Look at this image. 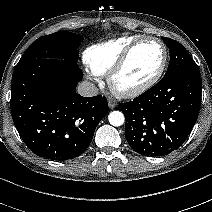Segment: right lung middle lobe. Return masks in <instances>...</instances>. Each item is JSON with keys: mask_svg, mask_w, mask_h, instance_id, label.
I'll return each instance as SVG.
<instances>
[{"mask_svg": "<svg viewBox=\"0 0 212 212\" xmlns=\"http://www.w3.org/2000/svg\"><path fill=\"white\" fill-rule=\"evenodd\" d=\"M82 41V36L66 31L42 36L27 48L15 68L42 58L66 59L77 63L78 47Z\"/></svg>", "mask_w": 212, "mask_h": 212, "instance_id": "dd1d6c3e", "label": "right lung middle lobe"}]
</instances>
